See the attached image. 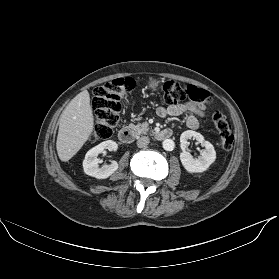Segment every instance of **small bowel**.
I'll list each match as a JSON object with an SVG mask.
<instances>
[{"instance_id":"small-bowel-1","label":"small bowel","mask_w":279,"mask_h":279,"mask_svg":"<svg viewBox=\"0 0 279 279\" xmlns=\"http://www.w3.org/2000/svg\"><path fill=\"white\" fill-rule=\"evenodd\" d=\"M156 113L161 118L189 113L186 124L191 129H197L200 124L199 118L205 116L204 106L192 101L182 102L168 107L159 106L156 109Z\"/></svg>"}]
</instances>
